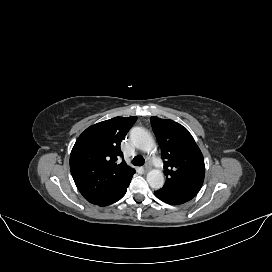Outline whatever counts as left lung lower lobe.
<instances>
[{
    "instance_id": "left-lung-lower-lobe-1",
    "label": "left lung lower lobe",
    "mask_w": 272,
    "mask_h": 272,
    "mask_svg": "<svg viewBox=\"0 0 272 272\" xmlns=\"http://www.w3.org/2000/svg\"><path fill=\"white\" fill-rule=\"evenodd\" d=\"M154 194L157 198L168 204L178 205L190 201L197 193L162 188L158 191H154Z\"/></svg>"
}]
</instances>
